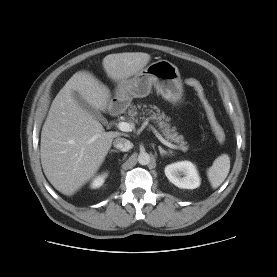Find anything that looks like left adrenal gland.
<instances>
[{"instance_id": "obj_1", "label": "left adrenal gland", "mask_w": 277, "mask_h": 277, "mask_svg": "<svg viewBox=\"0 0 277 277\" xmlns=\"http://www.w3.org/2000/svg\"><path fill=\"white\" fill-rule=\"evenodd\" d=\"M158 149H159L161 156L169 155L170 153H172L171 151L168 152V151L164 150L161 146H158Z\"/></svg>"}]
</instances>
